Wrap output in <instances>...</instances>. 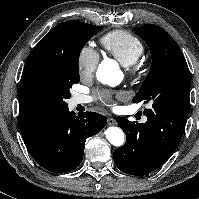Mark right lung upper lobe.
<instances>
[{"label":"right lung upper lobe","mask_w":199,"mask_h":199,"mask_svg":"<svg viewBox=\"0 0 199 199\" xmlns=\"http://www.w3.org/2000/svg\"><path fill=\"white\" fill-rule=\"evenodd\" d=\"M46 37H43L41 41L34 47L28 59L26 60L24 70L22 73L18 99H19V126L22 133L23 140L29 139L37 130L42 128L49 118L57 111L42 106L33 100H31L24 92L22 88L23 76L28 68L29 63L33 57L37 54L40 46L45 41Z\"/></svg>","instance_id":"cb5924a9"}]
</instances>
